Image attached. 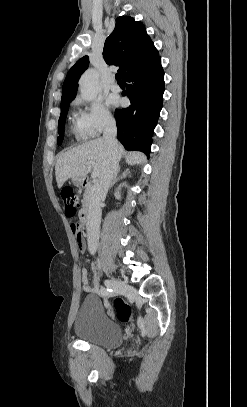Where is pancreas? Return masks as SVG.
I'll use <instances>...</instances> for the list:
<instances>
[{"instance_id":"1","label":"pancreas","mask_w":247,"mask_h":407,"mask_svg":"<svg viewBox=\"0 0 247 407\" xmlns=\"http://www.w3.org/2000/svg\"><path fill=\"white\" fill-rule=\"evenodd\" d=\"M90 197H91V190H90V188H86L83 201L88 202L90 200Z\"/></svg>"}]
</instances>
